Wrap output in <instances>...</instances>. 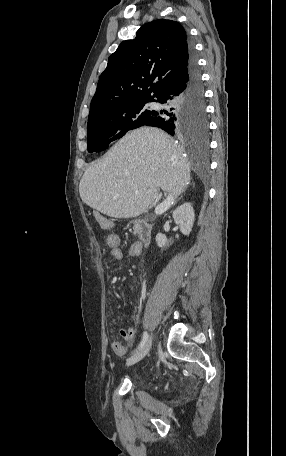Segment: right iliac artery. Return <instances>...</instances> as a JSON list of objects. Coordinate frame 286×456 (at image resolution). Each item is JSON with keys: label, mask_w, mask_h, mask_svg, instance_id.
Here are the masks:
<instances>
[{"label": "right iliac artery", "mask_w": 286, "mask_h": 456, "mask_svg": "<svg viewBox=\"0 0 286 456\" xmlns=\"http://www.w3.org/2000/svg\"><path fill=\"white\" fill-rule=\"evenodd\" d=\"M148 337H149V336H148V333H147V332H144V333H143V336H142V340H141V342H140V345H139V347H138V349H137L136 351L141 350V349L144 347V345L146 344V342H147V340H148Z\"/></svg>", "instance_id": "82829eb1"}]
</instances>
